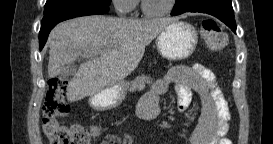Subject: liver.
Listing matches in <instances>:
<instances>
[{
	"mask_svg": "<svg viewBox=\"0 0 273 144\" xmlns=\"http://www.w3.org/2000/svg\"><path fill=\"white\" fill-rule=\"evenodd\" d=\"M175 18L126 19L92 15L58 24L50 33L49 78L65 72L83 55L67 87V100H81L127 77L140 63L145 47ZM101 51L100 57H90Z\"/></svg>",
	"mask_w": 273,
	"mask_h": 144,
	"instance_id": "6515ba94",
	"label": "liver"
}]
</instances>
